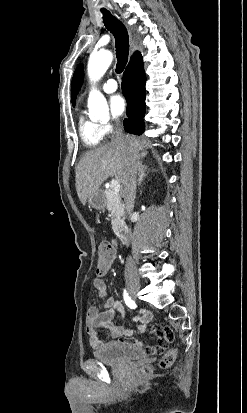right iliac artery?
I'll list each match as a JSON object with an SVG mask.
<instances>
[{"mask_svg": "<svg viewBox=\"0 0 247 413\" xmlns=\"http://www.w3.org/2000/svg\"><path fill=\"white\" fill-rule=\"evenodd\" d=\"M123 296H124V301L129 308L135 309L137 307L136 303L131 299V297L129 296L126 290H124Z\"/></svg>", "mask_w": 247, "mask_h": 413, "instance_id": "82829eb1", "label": "right iliac artery"}]
</instances>
